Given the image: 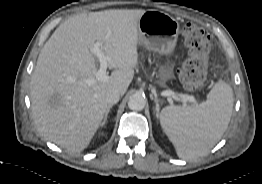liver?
Returning a JSON list of instances; mask_svg holds the SVG:
<instances>
[{"label": "liver", "instance_id": "liver-1", "mask_svg": "<svg viewBox=\"0 0 262 184\" xmlns=\"http://www.w3.org/2000/svg\"><path fill=\"white\" fill-rule=\"evenodd\" d=\"M142 9H112L79 14L64 21L43 46L30 82L32 114L38 131L49 141L78 153L90 144L102 124L106 94H124L138 64V21ZM115 69L95 81L96 42Z\"/></svg>", "mask_w": 262, "mask_h": 184}]
</instances>
